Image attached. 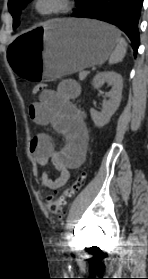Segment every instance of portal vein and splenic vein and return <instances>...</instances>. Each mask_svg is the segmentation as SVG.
Here are the masks:
<instances>
[{"instance_id": "obj_1", "label": "portal vein and splenic vein", "mask_w": 148, "mask_h": 279, "mask_svg": "<svg viewBox=\"0 0 148 279\" xmlns=\"http://www.w3.org/2000/svg\"><path fill=\"white\" fill-rule=\"evenodd\" d=\"M88 74H89L88 71H84V72H83V75H84V76H87Z\"/></svg>"}]
</instances>
